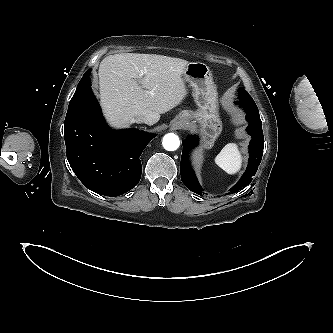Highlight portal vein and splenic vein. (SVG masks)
Returning a JSON list of instances; mask_svg holds the SVG:
<instances>
[{"label": "portal vein and splenic vein", "mask_w": 333, "mask_h": 333, "mask_svg": "<svg viewBox=\"0 0 333 333\" xmlns=\"http://www.w3.org/2000/svg\"><path fill=\"white\" fill-rule=\"evenodd\" d=\"M146 72L142 71L140 74H139V77H142Z\"/></svg>", "instance_id": "portal-vein-and-splenic-vein-1"}]
</instances>
